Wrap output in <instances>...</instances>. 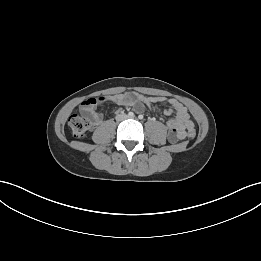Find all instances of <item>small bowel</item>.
Masks as SVG:
<instances>
[{
  "label": "small bowel",
  "instance_id": "small-bowel-1",
  "mask_svg": "<svg viewBox=\"0 0 261 261\" xmlns=\"http://www.w3.org/2000/svg\"><path fill=\"white\" fill-rule=\"evenodd\" d=\"M107 101L116 105L133 107L138 113L142 112L145 106L150 107L154 102L164 103L167 106L166 113L172 114V117L166 122L169 129V139L172 142L184 139L187 135V130L193 128V123L186 107L176 99L146 96L135 92L91 98L81 104L80 111L83 114L90 115L94 123L99 125L103 121V115L97 108Z\"/></svg>",
  "mask_w": 261,
  "mask_h": 261
}]
</instances>
